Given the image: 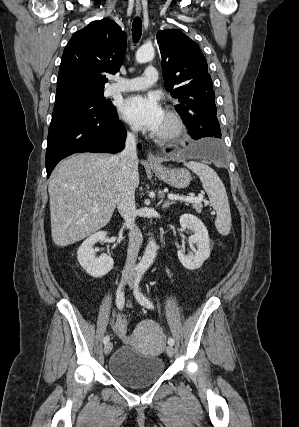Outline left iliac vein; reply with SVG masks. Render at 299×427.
<instances>
[{
  "label": "left iliac vein",
  "instance_id": "obj_1",
  "mask_svg": "<svg viewBox=\"0 0 299 427\" xmlns=\"http://www.w3.org/2000/svg\"><path fill=\"white\" fill-rule=\"evenodd\" d=\"M127 282H128V284H131V283H132V279H131V278H129ZM166 353H167V355H168L169 357H173V356H174V348H173V346H172V345H168V346L166 347Z\"/></svg>",
  "mask_w": 299,
  "mask_h": 427
}]
</instances>
